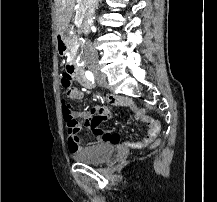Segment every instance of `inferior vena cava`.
I'll return each instance as SVG.
<instances>
[{
  "instance_id": "obj_1",
  "label": "inferior vena cava",
  "mask_w": 217,
  "mask_h": 202,
  "mask_svg": "<svg viewBox=\"0 0 217 202\" xmlns=\"http://www.w3.org/2000/svg\"><path fill=\"white\" fill-rule=\"evenodd\" d=\"M97 2L98 0H83V4L85 6V18L83 24L87 30H89L90 22L93 18V12H95ZM84 48L85 56H87V58H96V50H94L90 40H86Z\"/></svg>"
}]
</instances>
